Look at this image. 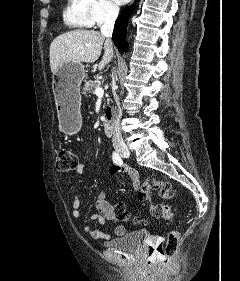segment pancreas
<instances>
[{
	"instance_id": "pancreas-1",
	"label": "pancreas",
	"mask_w": 240,
	"mask_h": 281,
	"mask_svg": "<svg viewBox=\"0 0 240 281\" xmlns=\"http://www.w3.org/2000/svg\"><path fill=\"white\" fill-rule=\"evenodd\" d=\"M99 86L98 81H88L85 83L83 89H82V94L85 97H90V94L94 92V89Z\"/></svg>"
}]
</instances>
